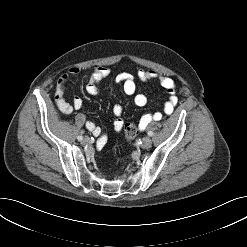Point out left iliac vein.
<instances>
[{
	"mask_svg": "<svg viewBox=\"0 0 247 247\" xmlns=\"http://www.w3.org/2000/svg\"><path fill=\"white\" fill-rule=\"evenodd\" d=\"M151 145H152V141H151V139H150L149 137H144V138L142 139L141 147H142L143 149H148V148L151 147Z\"/></svg>",
	"mask_w": 247,
	"mask_h": 247,
	"instance_id": "obj_1",
	"label": "left iliac vein"
}]
</instances>
